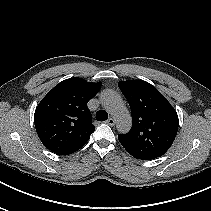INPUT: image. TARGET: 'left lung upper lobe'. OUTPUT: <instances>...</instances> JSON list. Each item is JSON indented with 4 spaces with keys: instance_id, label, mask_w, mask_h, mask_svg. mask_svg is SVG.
<instances>
[{
    "instance_id": "obj_1",
    "label": "left lung upper lobe",
    "mask_w": 211,
    "mask_h": 211,
    "mask_svg": "<svg viewBox=\"0 0 211 211\" xmlns=\"http://www.w3.org/2000/svg\"><path fill=\"white\" fill-rule=\"evenodd\" d=\"M118 86L130 104L133 120L131 130L118 135L120 143L135 158L151 160L164 155L178 130L175 109L145 81H120Z\"/></svg>"
}]
</instances>
